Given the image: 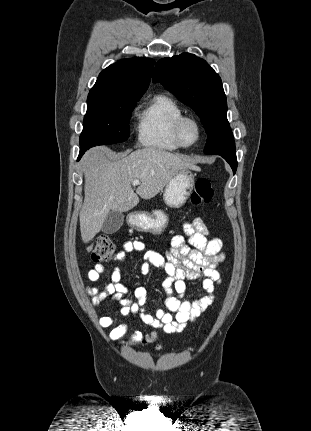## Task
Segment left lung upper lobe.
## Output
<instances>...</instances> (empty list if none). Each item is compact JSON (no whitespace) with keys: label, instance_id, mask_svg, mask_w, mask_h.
<instances>
[{"label":"left lung upper lobe","instance_id":"5c2ea615","mask_svg":"<svg viewBox=\"0 0 311 431\" xmlns=\"http://www.w3.org/2000/svg\"><path fill=\"white\" fill-rule=\"evenodd\" d=\"M154 80L197 113L208 135L205 154L236 153L222 81L205 60L189 53L163 58Z\"/></svg>","mask_w":311,"mask_h":431}]
</instances>
